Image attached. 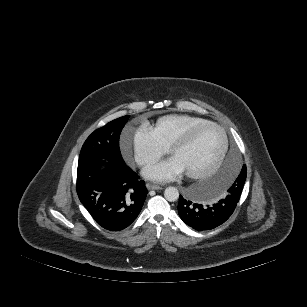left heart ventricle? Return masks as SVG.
I'll return each instance as SVG.
<instances>
[{"instance_id":"obj_1","label":"left heart ventricle","mask_w":307,"mask_h":307,"mask_svg":"<svg viewBox=\"0 0 307 307\" xmlns=\"http://www.w3.org/2000/svg\"><path fill=\"white\" fill-rule=\"evenodd\" d=\"M222 136L218 129L206 127L199 131L186 146L172 155L184 172H199L213 165L222 149Z\"/></svg>"}]
</instances>
